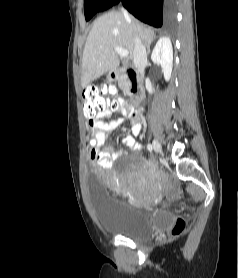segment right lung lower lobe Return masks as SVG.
Instances as JSON below:
<instances>
[{
    "label": "right lung lower lobe",
    "instance_id": "right-lung-lower-lobe-1",
    "mask_svg": "<svg viewBox=\"0 0 238 278\" xmlns=\"http://www.w3.org/2000/svg\"><path fill=\"white\" fill-rule=\"evenodd\" d=\"M121 2L139 20L161 27L174 19L175 0H105L98 12Z\"/></svg>",
    "mask_w": 238,
    "mask_h": 278
}]
</instances>
